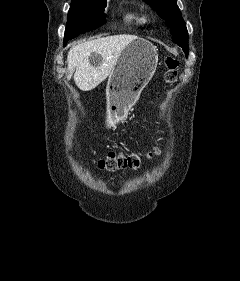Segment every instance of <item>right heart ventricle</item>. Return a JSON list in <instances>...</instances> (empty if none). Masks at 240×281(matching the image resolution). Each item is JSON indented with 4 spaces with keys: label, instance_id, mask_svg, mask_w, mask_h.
I'll list each match as a JSON object with an SVG mask.
<instances>
[{
    "label": "right heart ventricle",
    "instance_id": "e07e8e85",
    "mask_svg": "<svg viewBox=\"0 0 240 281\" xmlns=\"http://www.w3.org/2000/svg\"><path fill=\"white\" fill-rule=\"evenodd\" d=\"M124 19L126 21H129V22H132V23H135L138 25L143 24L145 22L144 17L139 12L133 11V10L127 11L124 14Z\"/></svg>",
    "mask_w": 240,
    "mask_h": 281
}]
</instances>
